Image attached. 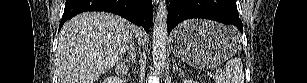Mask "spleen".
<instances>
[{"mask_svg": "<svg viewBox=\"0 0 307 83\" xmlns=\"http://www.w3.org/2000/svg\"><path fill=\"white\" fill-rule=\"evenodd\" d=\"M208 75L213 76L216 83H244L243 64L238 57L231 58L220 74Z\"/></svg>", "mask_w": 307, "mask_h": 83, "instance_id": "3e777b00", "label": "spleen"}]
</instances>
